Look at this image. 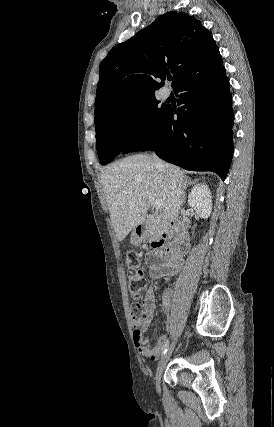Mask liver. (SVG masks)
I'll return each instance as SVG.
<instances>
[{"label": "liver", "mask_w": 274, "mask_h": 427, "mask_svg": "<svg viewBox=\"0 0 274 427\" xmlns=\"http://www.w3.org/2000/svg\"><path fill=\"white\" fill-rule=\"evenodd\" d=\"M100 178L118 241L143 223L150 204L148 198L162 200L165 217L174 221L188 184L180 168L171 164L156 168L152 158L144 154L114 162Z\"/></svg>", "instance_id": "obj_1"}]
</instances>
